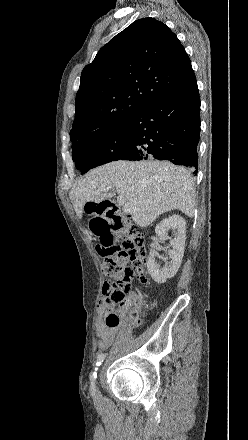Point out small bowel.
<instances>
[{
  "label": "small bowel",
  "instance_id": "c3829d8e",
  "mask_svg": "<svg viewBox=\"0 0 248 440\" xmlns=\"http://www.w3.org/2000/svg\"><path fill=\"white\" fill-rule=\"evenodd\" d=\"M109 312L114 311L112 308H107L102 305L98 310V315L95 322L96 334L99 338L98 347L101 350L108 349L118 333V326L109 327L105 323L104 315H107ZM126 312L127 305L121 306L115 313L121 318L126 314Z\"/></svg>",
  "mask_w": 248,
  "mask_h": 440
}]
</instances>
